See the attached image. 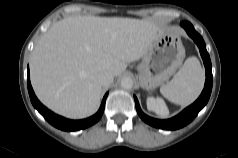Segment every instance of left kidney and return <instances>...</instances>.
Here are the masks:
<instances>
[{
	"label": "left kidney",
	"mask_w": 238,
	"mask_h": 158,
	"mask_svg": "<svg viewBox=\"0 0 238 158\" xmlns=\"http://www.w3.org/2000/svg\"><path fill=\"white\" fill-rule=\"evenodd\" d=\"M147 108L162 117H166L169 113L165 102L161 98L149 97L147 99Z\"/></svg>",
	"instance_id": "1"
}]
</instances>
